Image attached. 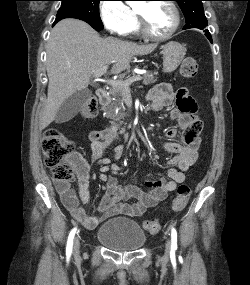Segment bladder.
<instances>
[{
    "mask_svg": "<svg viewBox=\"0 0 250 285\" xmlns=\"http://www.w3.org/2000/svg\"><path fill=\"white\" fill-rule=\"evenodd\" d=\"M99 243L117 252L140 249L146 242L141 226L133 219L115 217L105 221L96 232Z\"/></svg>",
    "mask_w": 250,
    "mask_h": 285,
    "instance_id": "obj_1",
    "label": "bladder"
}]
</instances>
